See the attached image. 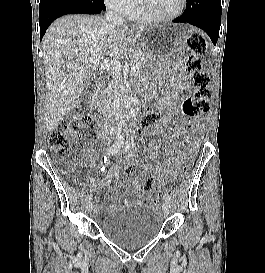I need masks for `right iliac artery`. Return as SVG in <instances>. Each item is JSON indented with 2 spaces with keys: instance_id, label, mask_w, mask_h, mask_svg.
<instances>
[{
  "instance_id": "obj_1",
  "label": "right iliac artery",
  "mask_w": 265,
  "mask_h": 273,
  "mask_svg": "<svg viewBox=\"0 0 265 273\" xmlns=\"http://www.w3.org/2000/svg\"><path fill=\"white\" fill-rule=\"evenodd\" d=\"M123 140H124L123 134L121 133V130L119 128V132L117 134V139L114 142V144L111 147H109V149L107 151L108 154L109 155L116 154L120 150L121 146L123 145ZM85 200L90 202L91 201V196L87 195Z\"/></svg>"
}]
</instances>
